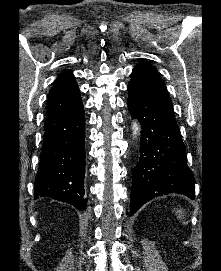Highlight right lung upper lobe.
<instances>
[{
  "label": "right lung upper lobe",
  "mask_w": 221,
  "mask_h": 271,
  "mask_svg": "<svg viewBox=\"0 0 221 271\" xmlns=\"http://www.w3.org/2000/svg\"><path fill=\"white\" fill-rule=\"evenodd\" d=\"M80 101V91L74 75L70 71H64L57 77L48 95L47 115L69 109Z\"/></svg>",
  "instance_id": "cb5924a9"
}]
</instances>
